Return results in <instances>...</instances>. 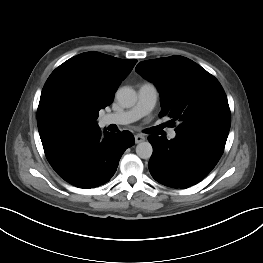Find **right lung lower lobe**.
Masks as SVG:
<instances>
[{"label": "right lung lower lobe", "instance_id": "right-lung-lower-lobe-1", "mask_svg": "<svg viewBox=\"0 0 263 263\" xmlns=\"http://www.w3.org/2000/svg\"><path fill=\"white\" fill-rule=\"evenodd\" d=\"M129 131L101 134L98 127L42 141L45 155L59 176L84 189L107 183L124 151L134 145Z\"/></svg>", "mask_w": 263, "mask_h": 263}]
</instances>
